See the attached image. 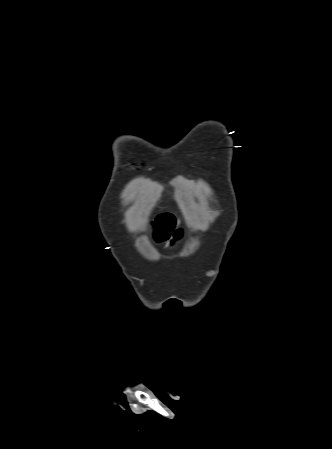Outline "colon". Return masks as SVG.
Here are the masks:
<instances>
[{"label":"colon","instance_id":"5ec220e1","mask_svg":"<svg viewBox=\"0 0 332 449\" xmlns=\"http://www.w3.org/2000/svg\"><path fill=\"white\" fill-rule=\"evenodd\" d=\"M159 227L156 233V238L159 241L178 240L181 235V229H176L174 224V218L171 214H163L159 218Z\"/></svg>","mask_w":332,"mask_h":449}]
</instances>
